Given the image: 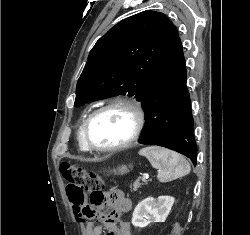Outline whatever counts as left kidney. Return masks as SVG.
I'll return each instance as SVG.
<instances>
[{
	"mask_svg": "<svg viewBox=\"0 0 250 235\" xmlns=\"http://www.w3.org/2000/svg\"><path fill=\"white\" fill-rule=\"evenodd\" d=\"M174 203L171 196H159L157 199L148 197L134 209L132 224L144 228L153 222H165Z\"/></svg>",
	"mask_w": 250,
	"mask_h": 235,
	"instance_id": "obj_1",
	"label": "left kidney"
}]
</instances>
